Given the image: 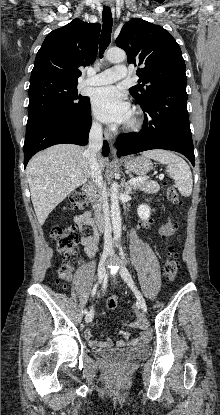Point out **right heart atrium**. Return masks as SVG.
Masks as SVG:
<instances>
[{"label":"right heart atrium","mask_w":220,"mask_h":415,"mask_svg":"<svg viewBox=\"0 0 220 415\" xmlns=\"http://www.w3.org/2000/svg\"><path fill=\"white\" fill-rule=\"evenodd\" d=\"M93 126L95 127V128H100V125L97 123V122H93Z\"/></svg>","instance_id":"d8ad5b80"}]
</instances>
